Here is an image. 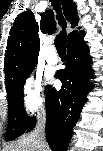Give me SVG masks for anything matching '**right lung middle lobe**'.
<instances>
[{
  "instance_id": "dd1d6c3e",
  "label": "right lung middle lobe",
  "mask_w": 103,
  "mask_h": 151,
  "mask_svg": "<svg viewBox=\"0 0 103 151\" xmlns=\"http://www.w3.org/2000/svg\"><path fill=\"white\" fill-rule=\"evenodd\" d=\"M34 67L35 66L25 71L8 88H6L8 98L6 141L13 140L24 134L35 119V117H27L23 104V86L26 78L29 77V74Z\"/></svg>"
}]
</instances>
